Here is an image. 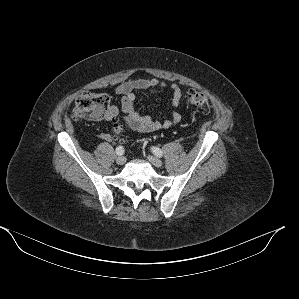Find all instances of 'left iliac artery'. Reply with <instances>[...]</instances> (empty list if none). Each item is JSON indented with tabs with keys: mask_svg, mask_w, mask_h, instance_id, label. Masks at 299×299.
<instances>
[{
	"mask_svg": "<svg viewBox=\"0 0 299 299\" xmlns=\"http://www.w3.org/2000/svg\"><path fill=\"white\" fill-rule=\"evenodd\" d=\"M152 152L157 156V157H162L163 156V152L161 151V149L157 148V147H152Z\"/></svg>",
	"mask_w": 299,
	"mask_h": 299,
	"instance_id": "1",
	"label": "left iliac artery"
}]
</instances>
